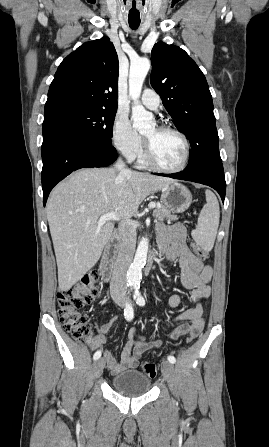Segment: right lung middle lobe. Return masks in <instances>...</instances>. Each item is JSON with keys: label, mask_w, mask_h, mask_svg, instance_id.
<instances>
[{"label": "right lung middle lobe", "mask_w": 269, "mask_h": 447, "mask_svg": "<svg viewBox=\"0 0 269 447\" xmlns=\"http://www.w3.org/2000/svg\"><path fill=\"white\" fill-rule=\"evenodd\" d=\"M117 108L104 109L100 107H60L44 114L45 118L63 120L79 132L111 144L113 121Z\"/></svg>", "instance_id": "1"}]
</instances>
